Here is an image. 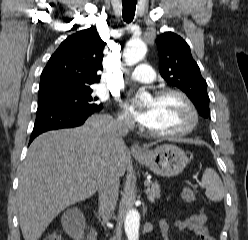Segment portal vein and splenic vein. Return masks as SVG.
Returning <instances> with one entry per match:
<instances>
[{
  "label": "portal vein and splenic vein",
  "mask_w": 248,
  "mask_h": 240,
  "mask_svg": "<svg viewBox=\"0 0 248 240\" xmlns=\"http://www.w3.org/2000/svg\"><path fill=\"white\" fill-rule=\"evenodd\" d=\"M150 184V181H145V185H149Z\"/></svg>",
  "instance_id": "1"
}]
</instances>
